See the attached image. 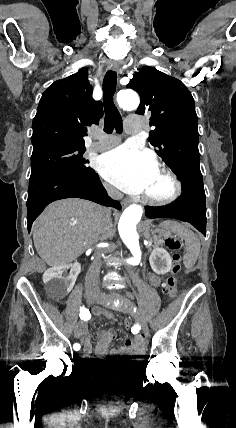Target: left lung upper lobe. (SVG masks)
I'll return each instance as SVG.
<instances>
[{
  "label": "left lung upper lobe",
  "instance_id": "1",
  "mask_svg": "<svg viewBox=\"0 0 236 428\" xmlns=\"http://www.w3.org/2000/svg\"><path fill=\"white\" fill-rule=\"evenodd\" d=\"M127 88L141 97L136 111L151 115L148 141L156 153L179 177H202L199 163L197 115L194 99L178 79L145 66L130 80Z\"/></svg>",
  "mask_w": 236,
  "mask_h": 428
}]
</instances>
